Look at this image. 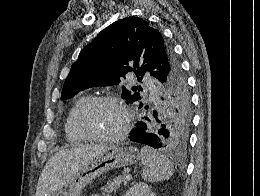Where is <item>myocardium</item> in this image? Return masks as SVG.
I'll return each mask as SVG.
<instances>
[{
	"instance_id": "obj_1",
	"label": "myocardium",
	"mask_w": 260,
	"mask_h": 196,
	"mask_svg": "<svg viewBox=\"0 0 260 196\" xmlns=\"http://www.w3.org/2000/svg\"><path fill=\"white\" fill-rule=\"evenodd\" d=\"M100 103H110L118 106L123 114V125L120 129H118L115 133L107 134V135H95L90 133L83 124V119L85 114L93 108L95 105ZM76 127L81 135L90 141L96 142H115L120 141L126 137L128 134L130 127L132 125V115L127 106V104L115 95H98L91 97L77 112L76 115Z\"/></svg>"
}]
</instances>
